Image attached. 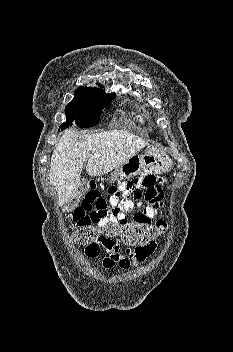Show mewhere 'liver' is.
Returning <instances> with one entry per match:
<instances>
[{"mask_svg": "<svg viewBox=\"0 0 233 352\" xmlns=\"http://www.w3.org/2000/svg\"><path fill=\"white\" fill-rule=\"evenodd\" d=\"M149 143L125 130L77 134L66 131L51 158L49 180L58 194V205H65L77 192L82 168L101 176L116 169Z\"/></svg>", "mask_w": 233, "mask_h": 352, "instance_id": "obj_1", "label": "liver"}]
</instances>
